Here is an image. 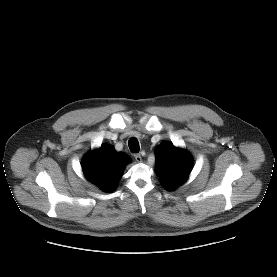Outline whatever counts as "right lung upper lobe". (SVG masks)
<instances>
[{"label":"right lung upper lobe","mask_w":277,"mask_h":277,"mask_svg":"<svg viewBox=\"0 0 277 277\" xmlns=\"http://www.w3.org/2000/svg\"><path fill=\"white\" fill-rule=\"evenodd\" d=\"M130 158L118 153L112 146L103 145L89 152L82 160V169L86 178L105 192H112L123 174Z\"/></svg>","instance_id":"cb5924a9"}]
</instances>
